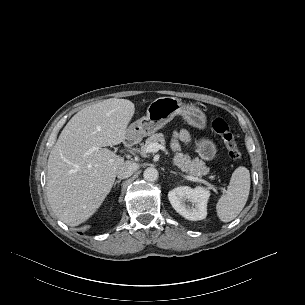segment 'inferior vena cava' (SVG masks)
<instances>
[{"label": "inferior vena cava", "mask_w": 305, "mask_h": 305, "mask_svg": "<svg viewBox=\"0 0 305 305\" xmlns=\"http://www.w3.org/2000/svg\"><path fill=\"white\" fill-rule=\"evenodd\" d=\"M137 164L132 161H125L123 162L118 170H117V177L120 179H126L130 177L136 170H137Z\"/></svg>", "instance_id": "inferior-vena-cava-1"}]
</instances>
